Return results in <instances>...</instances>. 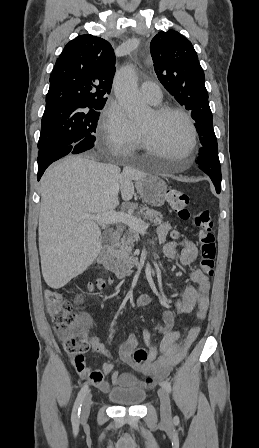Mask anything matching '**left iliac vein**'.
I'll return each mask as SVG.
<instances>
[{
	"mask_svg": "<svg viewBox=\"0 0 259 448\" xmlns=\"http://www.w3.org/2000/svg\"><path fill=\"white\" fill-rule=\"evenodd\" d=\"M158 396L160 398V413L161 419L165 423L171 422V404L167 391L162 387L158 390Z\"/></svg>",
	"mask_w": 259,
	"mask_h": 448,
	"instance_id": "1",
	"label": "left iliac vein"
}]
</instances>
